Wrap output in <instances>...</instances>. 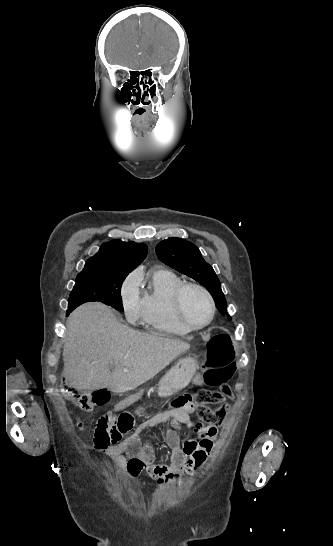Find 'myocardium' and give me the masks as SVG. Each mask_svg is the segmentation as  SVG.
I'll return each instance as SVG.
<instances>
[{
  "label": "myocardium",
  "mask_w": 333,
  "mask_h": 546,
  "mask_svg": "<svg viewBox=\"0 0 333 546\" xmlns=\"http://www.w3.org/2000/svg\"><path fill=\"white\" fill-rule=\"evenodd\" d=\"M188 289L199 290L201 293L204 294V296L208 300V303L210 306V316L208 320L203 324H200V325L192 324L185 315L184 307H183V299ZM172 304H173V309L178 321L190 331H196V330H201L206 328L212 323L216 315V304L212 294L206 287H204L203 285L199 283L184 282L183 284H181L174 292Z\"/></svg>",
  "instance_id": "obj_1"
}]
</instances>
